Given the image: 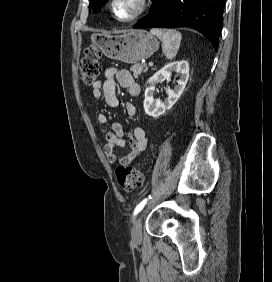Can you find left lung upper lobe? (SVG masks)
<instances>
[{
  "label": "left lung upper lobe",
  "instance_id": "5c2ea615",
  "mask_svg": "<svg viewBox=\"0 0 272 282\" xmlns=\"http://www.w3.org/2000/svg\"><path fill=\"white\" fill-rule=\"evenodd\" d=\"M107 0H91L90 8L97 13L101 7L106 3Z\"/></svg>",
  "mask_w": 272,
  "mask_h": 282
}]
</instances>
